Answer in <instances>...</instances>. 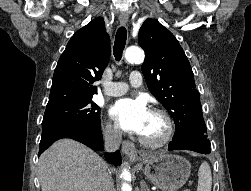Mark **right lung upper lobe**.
<instances>
[{
	"label": "right lung upper lobe",
	"mask_w": 251,
	"mask_h": 191,
	"mask_svg": "<svg viewBox=\"0 0 251 191\" xmlns=\"http://www.w3.org/2000/svg\"><path fill=\"white\" fill-rule=\"evenodd\" d=\"M110 59V39L102 17L79 29L68 42L53 75L46 107L92 99Z\"/></svg>",
	"instance_id": "cb5924a9"
}]
</instances>
